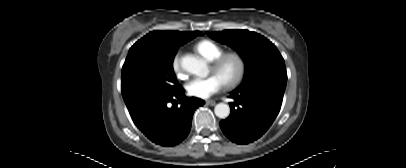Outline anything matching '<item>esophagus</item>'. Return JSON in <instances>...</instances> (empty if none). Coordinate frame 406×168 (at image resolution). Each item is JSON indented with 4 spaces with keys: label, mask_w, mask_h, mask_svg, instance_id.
<instances>
[{
    "label": "esophagus",
    "mask_w": 406,
    "mask_h": 168,
    "mask_svg": "<svg viewBox=\"0 0 406 168\" xmlns=\"http://www.w3.org/2000/svg\"><path fill=\"white\" fill-rule=\"evenodd\" d=\"M206 105L214 106V105H216V102L213 100H207Z\"/></svg>",
    "instance_id": "34e87169"
}]
</instances>
